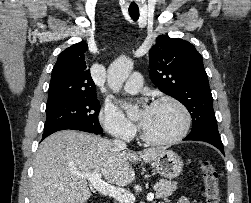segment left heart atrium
Listing matches in <instances>:
<instances>
[{"mask_svg": "<svg viewBox=\"0 0 251 203\" xmlns=\"http://www.w3.org/2000/svg\"><path fill=\"white\" fill-rule=\"evenodd\" d=\"M149 109H150V106H144V109H143L144 116H146L148 114ZM140 125H142V122H140Z\"/></svg>", "mask_w": 251, "mask_h": 203, "instance_id": "obj_1", "label": "left heart atrium"}]
</instances>
